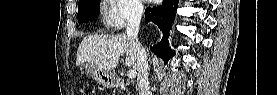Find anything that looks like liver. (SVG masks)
I'll use <instances>...</instances> for the list:
<instances>
[{
  "mask_svg": "<svg viewBox=\"0 0 277 95\" xmlns=\"http://www.w3.org/2000/svg\"><path fill=\"white\" fill-rule=\"evenodd\" d=\"M125 53V66L136 68V51L127 35H90L84 37L78 47L76 65L90 63L110 72L116 68L120 56Z\"/></svg>",
  "mask_w": 277,
  "mask_h": 95,
  "instance_id": "obj_1",
  "label": "liver"
}]
</instances>
